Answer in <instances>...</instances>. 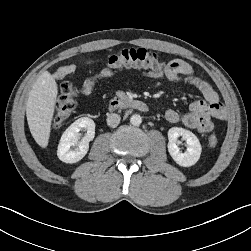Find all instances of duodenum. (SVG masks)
Wrapping results in <instances>:
<instances>
[{"mask_svg":"<svg viewBox=\"0 0 251 251\" xmlns=\"http://www.w3.org/2000/svg\"><path fill=\"white\" fill-rule=\"evenodd\" d=\"M135 109L138 111H148V105L142 100L128 99L123 97H116L109 101L108 110L116 111L118 109Z\"/></svg>","mask_w":251,"mask_h":251,"instance_id":"duodenum-1","label":"duodenum"}]
</instances>
